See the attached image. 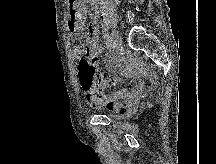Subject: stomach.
<instances>
[{
  "mask_svg": "<svg viewBox=\"0 0 216 164\" xmlns=\"http://www.w3.org/2000/svg\"><path fill=\"white\" fill-rule=\"evenodd\" d=\"M71 13H72V14H75V13H76V10H75V9H72V10H71Z\"/></svg>",
  "mask_w": 216,
  "mask_h": 164,
  "instance_id": "stomach-1",
  "label": "stomach"
}]
</instances>
